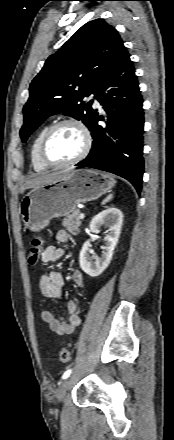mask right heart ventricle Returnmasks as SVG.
Masks as SVG:
<instances>
[{
    "label": "right heart ventricle",
    "mask_w": 174,
    "mask_h": 440,
    "mask_svg": "<svg viewBox=\"0 0 174 440\" xmlns=\"http://www.w3.org/2000/svg\"><path fill=\"white\" fill-rule=\"evenodd\" d=\"M50 126H51V124H46V125L42 126L36 132V134L34 135V137L32 138V141L30 143V147H29L30 162H31L33 169L36 172H44L49 168L41 161L40 155H39V150H40V144H41L42 138Z\"/></svg>",
    "instance_id": "e07e8e85"
}]
</instances>
